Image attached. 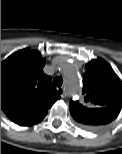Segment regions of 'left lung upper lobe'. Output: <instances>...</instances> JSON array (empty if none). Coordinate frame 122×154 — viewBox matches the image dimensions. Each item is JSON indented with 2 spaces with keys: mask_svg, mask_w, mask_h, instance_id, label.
Instances as JSON below:
<instances>
[{
  "mask_svg": "<svg viewBox=\"0 0 122 154\" xmlns=\"http://www.w3.org/2000/svg\"><path fill=\"white\" fill-rule=\"evenodd\" d=\"M84 102L71 101L70 112L74 119L82 125H88L84 119L93 117L98 109L111 107L121 110L122 83L112 67L98 58L86 64L83 78Z\"/></svg>",
  "mask_w": 122,
  "mask_h": 154,
  "instance_id": "obj_1",
  "label": "left lung upper lobe"
}]
</instances>
